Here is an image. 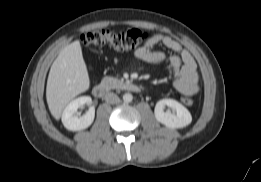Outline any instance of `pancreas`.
I'll use <instances>...</instances> for the list:
<instances>
[{
  "label": "pancreas",
  "mask_w": 261,
  "mask_h": 182,
  "mask_svg": "<svg viewBox=\"0 0 261 182\" xmlns=\"http://www.w3.org/2000/svg\"><path fill=\"white\" fill-rule=\"evenodd\" d=\"M102 85L107 89H118L124 86V81L114 77L106 76L102 79Z\"/></svg>",
  "instance_id": "obj_1"
}]
</instances>
